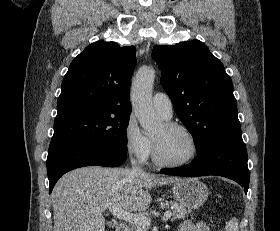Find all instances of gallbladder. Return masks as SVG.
<instances>
[{"label":"gallbladder","instance_id":"1","mask_svg":"<svg viewBox=\"0 0 280 231\" xmlns=\"http://www.w3.org/2000/svg\"><path fill=\"white\" fill-rule=\"evenodd\" d=\"M107 225H109V227H115V225H117V221H108Z\"/></svg>","mask_w":280,"mask_h":231}]
</instances>
